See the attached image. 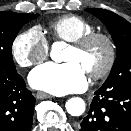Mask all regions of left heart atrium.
<instances>
[{
	"label": "left heart atrium",
	"mask_w": 131,
	"mask_h": 131,
	"mask_svg": "<svg viewBox=\"0 0 131 131\" xmlns=\"http://www.w3.org/2000/svg\"><path fill=\"white\" fill-rule=\"evenodd\" d=\"M29 83L35 89L65 95L84 90L87 87V77L77 62H50L36 67L29 75Z\"/></svg>",
	"instance_id": "1"
}]
</instances>
